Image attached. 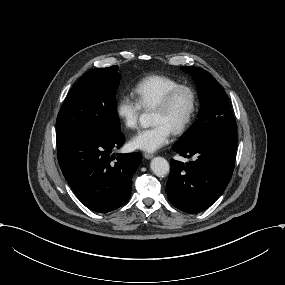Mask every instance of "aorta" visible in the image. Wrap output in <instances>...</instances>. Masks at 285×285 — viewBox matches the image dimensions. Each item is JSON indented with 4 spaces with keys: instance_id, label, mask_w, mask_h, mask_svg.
<instances>
[{
    "instance_id": "762f6f07",
    "label": "aorta",
    "mask_w": 285,
    "mask_h": 285,
    "mask_svg": "<svg viewBox=\"0 0 285 285\" xmlns=\"http://www.w3.org/2000/svg\"><path fill=\"white\" fill-rule=\"evenodd\" d=\"M151 118L149 114H142L140 116V122L142 125L147 126L150 124ZM151 170L158 177L166 176L170 171V165L168 161L163 157H155L150 164Z\"/></svg>"
}]
</instances>
